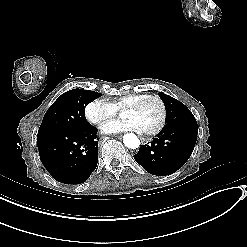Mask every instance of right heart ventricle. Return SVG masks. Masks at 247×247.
<instances>
[{
	"mask_svg": "<svg viewBox=\"0 0 247 247\" xmlns=\"http://www.w3.org/2000/svg\"><path fill=\"white\" fill-rule=\"evenodd\" d=\"M142 95L145 94H130L127 96L119 97L114 99L112 104L115 106V108L129 106L135 99L141 97Z\"/></svg>",
	"mask_w": 247,
	"mask_h": 247,
	"instance_id": "1",
	"label": "right heart ventricle"
}]
</instances>
